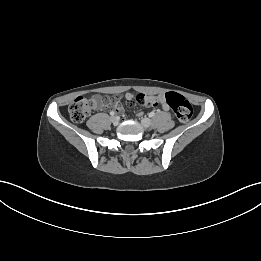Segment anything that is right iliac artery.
Here are the masks:
<instances>
[{"label": "right iliac artery", "mask_w": 261, "mask_h": 261, "mask_svg": "<svg viewBox=\"0 0 261 261\" xmlns=\"http://www.w3.org/2000/svg\"><path fill=\"white\" fill-rule=\"evenodd\" d=\"M114 114H115V113H114L113 111L110 112V115H111V116H114Z\"/></svg>", "instance_id": "obj_1"}]
</instances>
